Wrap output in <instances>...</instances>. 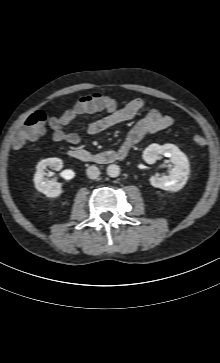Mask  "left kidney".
Returning a JSON list of instances; mask_svg holds the SVG:
<instances>
[{
  "mask_svg": "<svg viewBox=\"0 0 220 363\" xmlns=\"http://www.w3.org/2000/svg\"><path fill=\"white\" fill-rule=\"evenodd\" d=\"M159 155H165L170 158V162L174 164V168L169 175L162 177L152 176L150 183L152 186L169 191H178L185 185L189 175V162L186 155L173 144H151L143 152V159L153 164Z\"/></svg>",
  "mask_w": 220,
  "mask_h": 363,
  "instance_id": "obj_1",
  "label": "left kidney"
}]
</instances>
